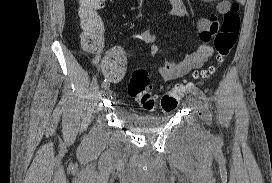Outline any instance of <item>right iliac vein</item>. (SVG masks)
<instances>
[{
  "label": "right iliac vein",
  "mask_w": 272,
  "mask_h": 183,
  "mask_svg": "<svg viewBox=\"0 0 272 183\" xmlns=\"http://www.w3.org/2000/svg\"><path fill=\"white\" fill-rule=\"evenodd\" d=\"M104 93L106 94H110V88L109 86L105 87L104 90H103Z\"/></svg>",
  "instance_id": "obj_1"
}]
</instances>
